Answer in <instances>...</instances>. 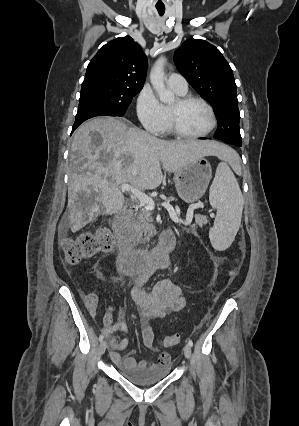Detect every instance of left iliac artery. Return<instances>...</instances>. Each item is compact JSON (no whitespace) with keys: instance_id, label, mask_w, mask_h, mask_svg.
<instances>
[{"instance_id":"left-iliac-artery-1","label":"left iliac artery","mask_w":299,"mask_h":426,"mask_svg":"<svg viewBox=\"0 0 299 426\" xmlns=\"http://www.w3.org/2000/svg\"><path fill=\"white\" fill-rule=\"evenodd\" d=\"M188 345H189L190 347H192V346H193V342H192V340H191V339H188Z\"/></svg>"}]
</instances>
